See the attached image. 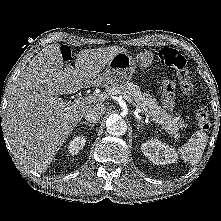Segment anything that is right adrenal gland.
I'll return each instance as SVG.
<instances>
[{"mask_svg": "<svg viewBox=\"0 0 221 221\" xmlns=\"http://www.w3.org/2000/svg\"><path fill=\"white\" fill-rule=\"evenodd\" d=\"M81 124L88 125V126L90 127V129H92V128L95 126V124H94V123H93V124H91V123L86 122V121L81 122Z\"/></svg>", "mask_w": 221, "mask_h": 221, "instance_id": "2a0ac1e0", "label": "right adrenal gland"}]
</instances>
